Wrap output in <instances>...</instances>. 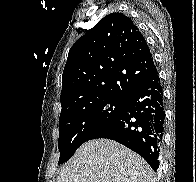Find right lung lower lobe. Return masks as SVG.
Listing matches in <instances>:
<instances>
[{"instance_id":"98d812e1","label":"right lung lower lobe","mask_w":196,"mask_h":182,"mask_svg":"<svg viewBox=\"0 0 196 182\" xmlns=\"http://www.w3.org/2000/svg\"><path fill=\"white\" fill-rule=\"evenodd\" d=\"M164 124L163 91L155 67L129 94L123 111L90 139L115 140L141 155L156 171Z\"/></svg>"}]
</instances>
